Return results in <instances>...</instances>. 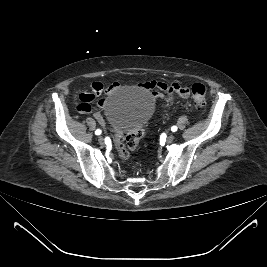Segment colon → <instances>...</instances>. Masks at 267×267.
Segmentation results:
<instances>
[{
  "label": "colon",
  "instance_id": "obj_1",
  "mask_svg": "<svg viewBox=\"0 0 267 267\" xmlns=\"http://www.w3.org/2000/svg\"><path fill=\"white\" fill-rule=\"evenodd\" d=\"M194 109L202 111L206 106V88L203 84L196 83L191 88ZM173 101V96L167 98V103ZM145 129L143 126L138 127L127 134L116 130L113 131V142L122 159H127L132 151H135L143 137Z\"/></svg>",
  "mask_w": 267,
  "mask_h": 267
}]
</instances>
